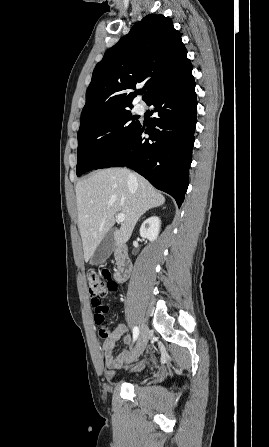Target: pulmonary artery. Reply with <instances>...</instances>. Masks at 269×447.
<instances>
[{
  "mask_svg": "<svg viewBox=\"0 0 269 447\" xmlns=\"http://www.w3.org/2000/svg\"><path fill=\"white\" fill-rule=\"evenodd\" d=\"M137 109H138L139 111H143V110L145 109L144 104H143V103L138 104Z\"/></svg>",
  "mask_w": 269,
  "mask_h": 447,
  "instance_id": "e3ab8cb5",
  "label": "pulmonary artery"
}]
</instances>
